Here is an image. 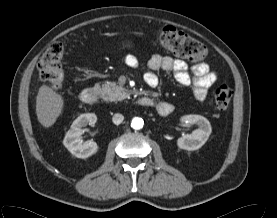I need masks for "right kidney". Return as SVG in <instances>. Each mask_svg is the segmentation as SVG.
Returning a JSON list of instances; mask_svg holds the SVG:
<instances>
[{"label":"right kidney","mask_w":277,"mask_h":218,"mask_svg":"<svg viewBox=\"0 0 277 218\" xmlns=\"http://www.w3.org/2000/svg\"><path fill=\"white\" fill-rule=\"evenodd\" d=\"M97 121V116L94 113L81 114L74 120L70 129L63 140L64 146L77 158H88L95 154L98 150L96 142L82 139V127L94 125Z\"/></svg>","instance_id":"1"}]
</instances>
